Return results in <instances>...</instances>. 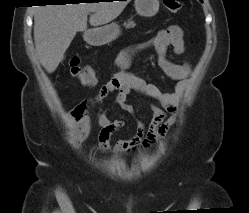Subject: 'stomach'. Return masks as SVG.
<instances>
[{
  "instance_id": "stomach-1",
  "label": "stomach",
  "mask_w": 249,
  "mask_h": 213,
  "mask_svg": "<svg viewBox=\"0 0 249 213\" xmlns=\"http://www.w3.org/2000/svg\"><path fill=\"white\" fill-rule=\"evenodd\" d=\"M136 12L144 17H152L159 11V0H135ZM121 31L116 23L95 28L87 32L85 40L93 46H102L115 40Z\"/></svg>"
}]
</instances>
